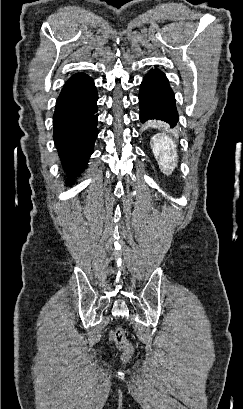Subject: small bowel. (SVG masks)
Here are the masks:
<instances>
[{"label":"small bowel","instance_id":"obj_1","mask_svg":"<svg viewBox=\"0 0 243 409\" xmlns=\"http://www.w3.org/2000/svg\"><path fill=\"white\" fill-rule=\"evenodd\" d=\"M110 340L111 341H113L114 340V336H113V334L111 333V336H110Z\"/></svg>","mask_w":243,"mask_h":409}]
</instances>
